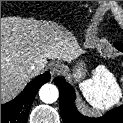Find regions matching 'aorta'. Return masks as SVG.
<instances>
[{"mask_svg": "<svg viewBox=\"0 0 123 123\" xmlns=\"http://www.w3.org/2000/svg\"><path fill=\"white\" fill-rule=\"evenodd\" d=\"M58 89L55 85L45 84L39 90L40 99L44 103H54L58 99Z\"/></svg>", "mask_w": 123, "mask_h": 123, "instance_id": "obj_1", "label": "aorta"}]
</instances>
